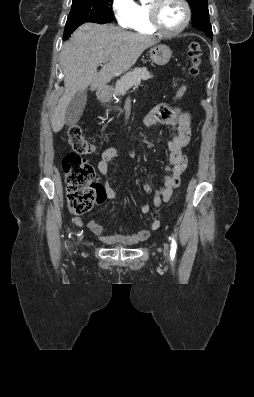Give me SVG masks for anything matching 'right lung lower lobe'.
Wrapping results in <instances>:
<instances>
[{"label": "right lung lower lobe", "instance_id": "obj_1", "mask_svg": "<svg viewBox=\"0 0 254 397\" xmlns=\"http://www.w3.org/2000/svg\"><path fill=\"white\" fill-rule=\"evenodd\" d=\"M85 22H76L69 25H65L64 37L63 40H67L69 36L73 33V31Z\"/></svg>", "mask_w": 254, "mask_h": 397}]
</instances>
